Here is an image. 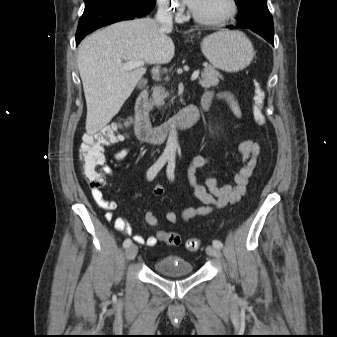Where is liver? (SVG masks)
<instances>
[{"label":"liver","mask_w":337,"mask_h":337,"mask_svg":"<svg viewBox=\"0 0 337 337\" xmlns=\"http://www.w3.org/2000/svg\"><path fill=\"white\" fill-rule=\"evenodd\" d=\"M170 32L147 17L112 24L82 41L77 63L87 104L88 135L112 120L146 73L144 66L129 71L124 63L171 61L175 47Z\"/></svg>","instance_id":"6515ba94"}]
</instances>
